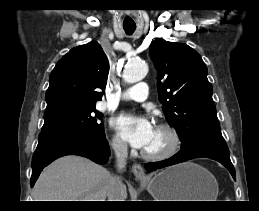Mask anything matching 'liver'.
I'll list each match as a JSON object with an SVG mask.
<instances>
[{
    "label": "liver",
    "mask_w": 259,
    "mask_h": 211,
    "mask_svg": "<svg viewBox=\"0 0 259 211\" xmlns=\"http://www.w3.org/2000/svg\"><path fill=\"white\" fill-rule=\"evenodd\" d=\"M110 172L87 158L65 156L51 163L39 176L34 201H106L112 181ZM127 189L120 190L125 201Z\"/></svg>",
    "instance_id": "obj_1"
}]
</instances>
